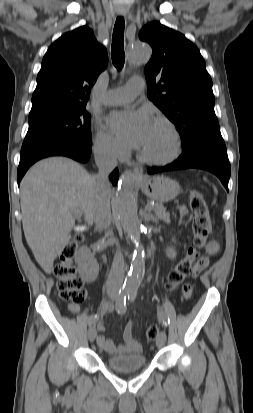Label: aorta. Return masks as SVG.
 <instances>
[{"label": "aorta", "instance_id": "obj_1", "mask_svg": "<svg viewBox=\"0 0 253 413\" xmlns=\"http://www.w3.org/2000/svg\"><path fill=\"white\" fill-rule=\"evenodd\" d=\"M150 55V47L141 41L134 42L128 50L131 63L143 62ZM115 211L124 231L134 241L140 240L141 224L137 213V204L134 196V178L131 172H126L118 183ZM145 274V265L141 248L135 250L128 277L125 281V290L135 291Z\"/></svg>", "mask_w": 253, "mask_h": 413}]
</instances>
